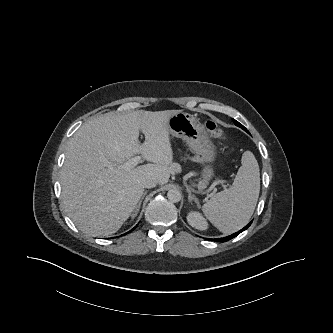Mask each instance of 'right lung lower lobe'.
I'll return each instance as SVG.
<instances>
[{
    "label": "right lung lower lobe",
    "mask_w": 333,
    "mask_h": 333,
    "mask_svg": "<svg viewBox=\"0 0 333 333\" xmlns=\"http://www.w3.org/2000/svg\"><path fill=\"white\" fill-rule=\"evenodd\" d=\"M134 228H136V227H134ZM134 228H133V229H134ZM133 229H132V230H133ZM132 230H131V231H132ZM131 231H129V232H131ZM129 232H128V233H129ZM124 235H125V234H124Z\"/></svg>",
    "instance_id": "obj_1"
}]
</instances>
